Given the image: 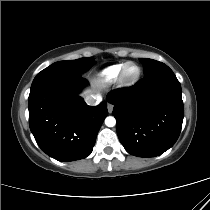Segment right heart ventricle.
Segmentation results:
<instances>
[{
    "mask_svg": "<svg viewBox=\"0 0 210 210\" xmlns=\"http://www.w3.org/2000/svg\"><path fill=\"white\" fill-rule=\"evenodd\" d=\"M125 63H118L105 68L99 75L103 83H113L120 75L121 69Z\"/></svg>",
    "mask_w": 210,
    "mask_h": 210,
    "instance_id": "e07e8e85",
    "label": "right heart ventricle"
}]
</instances>
